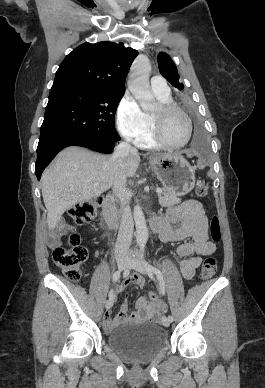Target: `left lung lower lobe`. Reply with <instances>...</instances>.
I'll return each instance as SVG.
<instances>
[{
  "instance_id": "1",
  "label": "left lung lower lobe",
  "mask_w": 265,
  "mask_h": 388,
  "mask_svg": "<svg viewBox=\"0 0 265 388\" xmlns=\"http://www.w3.org/2000/svg\"><path fill=\"white\" fill-rule=\"evenodd\" d=\"M191 150L201 155L207 152L206 139L200 126L196 128V131L194 133L192 143H191Z\"/></svg>"
}]
</instances>
